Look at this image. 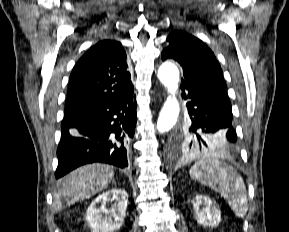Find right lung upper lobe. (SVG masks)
<instances>
[{
    "label": "right lung upper lobe",
    "instance_id": "obj_1",
    "mask_svg": "<svg viewBox=\"0 0 289 232\" xmlns=\"http://www.w3.org/2000/svg\"><path fill=\"white\" fill-rule=\"evenodd\" d=\"M121 43L103 40L77 62L70 75L65 111L110 101L133 90Z\"/></svg>",
    "mask_w": 289,
    "mask_h": 232
}]
</instances>
